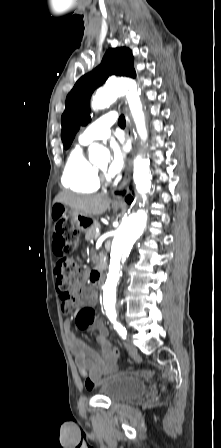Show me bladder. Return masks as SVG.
Wrapping results in <instances>:
<instances>
[{
    "label": "bladder",
    "instance_id": "31cf9c89",
    "mask_svg": "<svg viewBox=\"0 0 221 448\" xmlns=\"http://www.w3.org/2000/svg\"><path fill=\"white\" fill-rule=\"evenodd\" d=\"M145 390V381L136 376L112 375L99 385L100 393L115 403L136 399Z\"/></svg>",
    "mask_w": 221,
    "mask_h": 448
}]
</instances>
